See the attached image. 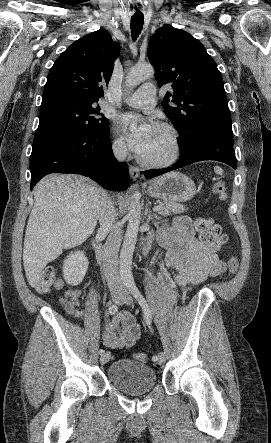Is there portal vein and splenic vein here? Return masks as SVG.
I'll list each match as a JSON object with an SVG mask.
<instances>
[{"instance_id": "obj_1", "label": "portal vein and splenic vein", "mask_w": 271, "mask_h": 443, "mask_svg": "<svg viewBox=\"0 0 271 443\" xmlns=\"http://www.w3.org/2000/svg\"><path fill=\"white\" fill-rule=\"evenodd\" d=\"M153 210L154 212H160V210H162V206H154Z\"/></svg>"}]
</instances>
